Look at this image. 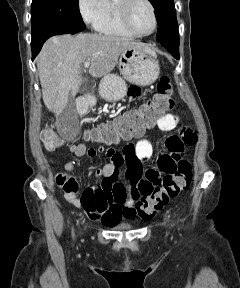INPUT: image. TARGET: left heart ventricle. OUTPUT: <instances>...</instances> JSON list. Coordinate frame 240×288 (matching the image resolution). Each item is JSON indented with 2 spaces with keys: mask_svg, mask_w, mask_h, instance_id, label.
Listing matches in <instances>:
<instances>
[{
  "mask_svg": "<svg viewBox=\"0 0 240 288\" xmlns=\"http://www.w3.org/2000/svg\"><path fill=\"white\" fill-rule=\"evenodd\" d=\"M131 22L138 33L151 32L154 27V19L150 7L144 2L136 3L132 10Z\"/></svg>",
  "mask_w": 240,
  "mask_h": 288,
  "instance_id": "b2bd125f",
  "label": "left heart ventricle"
}]
</instances>
